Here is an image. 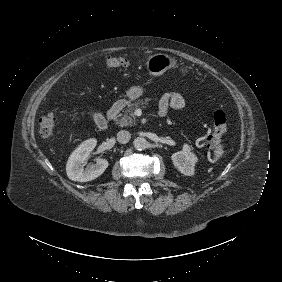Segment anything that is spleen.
Returning a JSON list of instances; mask_svg holds the SVG:
<instances>
[{
	"instance_id": "1",
	"label": "spleen",
	"mask_w": 282,
	"mask_h": 282,
	"mask_svg": "<svg viewBox=\"0 0 282 282\" xmlns=\"http://www.w3.org/2000/svg\"><path fill=\"white\" fill-rule=\"evenodd\" d=\"M226 154V144L219 143L213 149L212 163L217 164Z\"/></svg>"
}]
</instances>
